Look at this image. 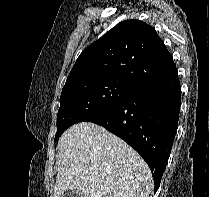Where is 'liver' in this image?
<instances>
[{"instance_id": "6515ba94", "label": "liver", "mask_w": 209, "mask_h": 197, "mask_svg": "<svg viewBox=\"0 0 209 197\" xmlns=\"http://www.w3.org/2000/svg\"><path fill=\"white\" fill-rule=\"evenodd\" d=\"M57 148L60 168L53 197L73 189L82 197H148L152 190L151 171L142 157L99 125L74 124Z\"/></svg>"}]
</instances>
